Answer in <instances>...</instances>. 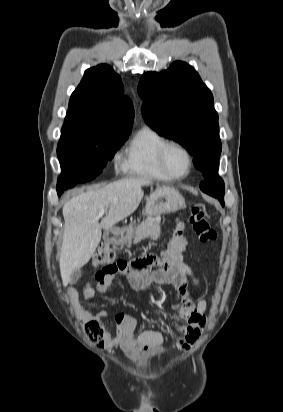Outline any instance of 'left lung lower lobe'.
Returning a JSON list of instances; mask_svg holds the SVG:
<instances>
[{
    "instance_id": "obj_1",
    "label": "left lung lower lobe",
    "mask_w": 283,
    "mask_h": 412,
    "mask_svg": "<svg viewBox=\"0 0 283 412\" xmlns=\"http://www.w3.org/2000/svg\"><path fill=\"white\" fill-rule=\"evenodd\" d=\"M218 168H219V164H218V166L216 167V169L214 170V172H213V174H212V176H210V180H213V181H222V179L219 177V175H218ZM206 184H207V181H203L201 184H200V188H201V190L203 191V192H205L206 193ZM219 201L221 202V204L224 206V199L223 200H220L219 199Z\"/></svg>"
}]
</instances>
